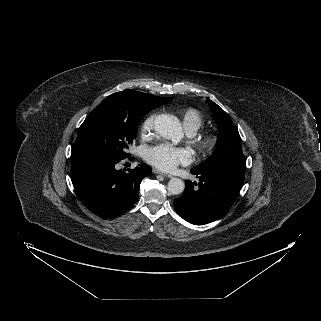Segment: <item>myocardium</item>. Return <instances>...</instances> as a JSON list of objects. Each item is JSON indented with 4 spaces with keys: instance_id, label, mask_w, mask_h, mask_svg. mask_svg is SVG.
<instances>
[{
    "instance_id": "obj_1",
    "label": "myocardium",
    "mask_w": 321,
    "mask_h": 321,
    "mask_svg": "<svg viewBox=\"0 0 321 321\" xmlns=\"http://www.w3.org/2000/svg\"><path fill=\"white\" fill-rule=\"evenodd\" d=\"M197 151L204 157L210 156L217 148L219 138L214 131H205L194 136Z\"/></svg>"
}]
</instances>
